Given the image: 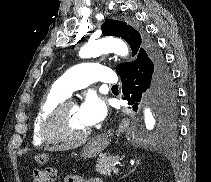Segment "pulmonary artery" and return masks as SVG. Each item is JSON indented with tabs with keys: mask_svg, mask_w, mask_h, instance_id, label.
Instances as JSON below:
<instances>
[{
	"mask_svg": "<svg viewBox=\"0 0 211 182\" xmlns=\"http://www.w3.org/2000/svg\"><path fill=\"white\" fill-rule=\"evenodd\" d=\"M96 81L116 84L118 79L109 67L97 63H81L62 74L56 80L54 87L69 97L73 91Z\"/></svg>",
	"mask_w": 211,
	"mask_h": 182,
	"instance_id": "e3ab8cb5",
	"label": "pulmonary artery"
}]
</instances>
